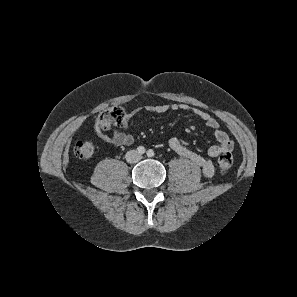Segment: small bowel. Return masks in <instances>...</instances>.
I'll return each instance as SVG.
<instances>
[{"label":"small bowel","mask_w":297,"mask_h":297,"mask_svg":"<svg viewBox=\"0 0 297 297\" xmlns=\"http://www.w3.org/2000/svg\"><path fill=\"white\" fill-rule=\"evenodd\" d=\"M146 109L150 112L158 114L169 111H187L203 120L207 127L214 131V137L216 140V144L212 145L208 149L207 154L210 158H215L223 153L231 152L233 149L232 140L229 138L226 132L219 128L220 126L218 120L207 111L184 103L154 105L148 106ZM129 118L130 114L126 115L125 121L122 124L124 128H128ZM95 130L100 139L115 146H130L134 143V136L128 132L116 130L111 135H108L98 125H96ZM168 145L180 157L188 159L194 165L200 167L206 177L213 176L214 165L212 161L189 149L187 144L182 139L173 137L169 140Z\"/></svg>","instance_id":"c3829d8e"}]
</instances>
